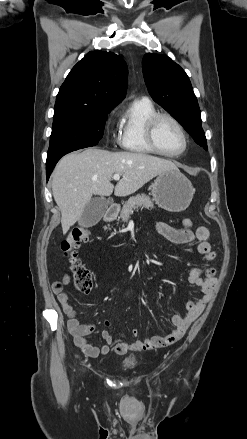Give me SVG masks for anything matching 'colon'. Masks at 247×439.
I'll use <instances>...</instances> for the list:
<instances>
[{
    "label": "colon",
    "instance_id": "1",
    "mask_svg": "<svg viewBox=\"0 0 247 439\" xmlns=\"http://www.w3.org/2000/svg\"><path fill=\"white\" fill-rule=\"evenodd\" d=\"M184 227H191L192 221L184 219ZM89 239V233L84 228H74L61 243V250L67 260L68 269L74 279L75 288L88 293L92 288V272L82 263L78 255L80 245Z\"/></svg>",
    "mask_w": 247,
    "mask_h": 439
}]
</instances>
